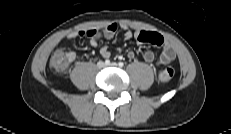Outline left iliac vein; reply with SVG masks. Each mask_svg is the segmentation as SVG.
Returning a JSON list of instances; mask_svg holds the SVG:
<instances>
[{
    "label": "left iliac vein",
    "mask_w": 231,
    "mask_h": 134,
    "mask_svg": "<svg viewBox=\"0 0 231 134\" xmlns=\"http://www.w3.org/2000/svg\"><path fill=\"white\" fill-rule=\"evenodd\" d=\"M109 66H111V67H117V63L113 62Z\"/></svg>",
    "instance_id": "left-iliac-vein-1"
}]
</instances>
